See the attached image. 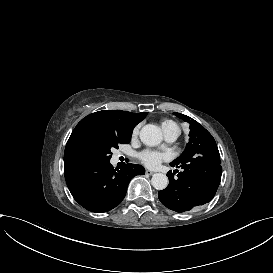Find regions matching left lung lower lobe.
Segmentation results:
<instances>
[{"label":"left lung lower lobe","instance_id":"1","mask_svg":"<svg viewBox=\"0 0 273 273\" xmlns=\"http://www.w3.org/2000/svg\"><path fill=\"white\" fill-rule=\"evenodd\" d=\"M170 165L183 171L178 173V178H174L171 171L167 173L169 186L158 193L164 206L181 213L203 205L214 197L222 174L220 159L198 156Z\"/></svg>","mask_w":273,"mask_h":273}]
</instances>
